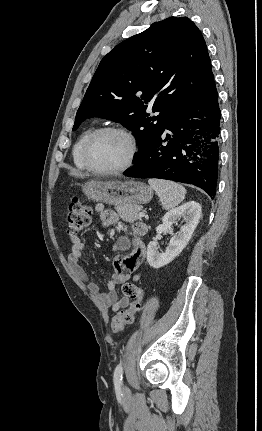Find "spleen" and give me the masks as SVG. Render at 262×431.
Instances as JSON below:
<instances>
[{
    "label": "spleen",
    "instance_id": "1",
    "mask_svg": "<svg viewBox=\"0 0 262 431\" xmlns=\"http://www.w3.org/2000/svg\"><path fill=\"white\" fill-rule=\"evenodd\" d=\"M149 185L155 190L165 210L178 206L185 198L186 189L173 181L149 179Z\"/></svg>",
    "mask_w": 262,
    "mask_h": 431
}]
</instances>
